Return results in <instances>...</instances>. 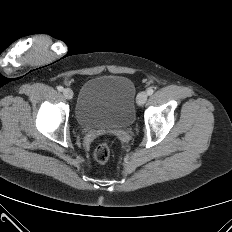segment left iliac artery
Listing matches in <instances>:
<instances>
[{
  "label": "left iliac artery",
  "mask_w": 232,
  "mask_h": 232,
  "mask_svg": "<svg viewBox=\"0 0 232 232\" xmlns=\"http://www.w3.org/2000/svg\"><path fill=\"white\" fill-rule=\"evenodd\" d=\"M153 92H154V90H153L152 88H148V89H147V94H148L149 96L152 95Z\"/></svg>",
  "instance_id": "obj_1"
}]
</instances>
